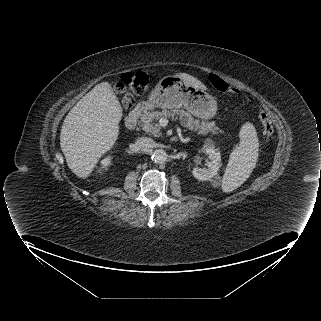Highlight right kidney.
Returning <instances> with one entry per match:
<instances>
[{
    "mask_svg": "<svg viewBox=\"0 0 321 321\" xmlns=\"http://www.w3.org/2000/svg\"><path fill=\"white\" fill-rule=\"evenodd\" d=\"M112 157L107 156L101 161L102 168H107L109 165H111Z\"/></svg>",
    "mask_w": 321,
    "mask_h": 321,
    "instance_id": "1",
    "label": "right kidney"
}]
</instances>
